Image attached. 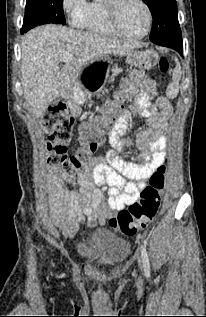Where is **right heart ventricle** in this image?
Masks as SVG:
<instances>
[{
    "instance_id": "right-heart-ventricle-1",
    "label": "right heart ventricle",
    "mask_w": 206,
    "mask_h": 317,
    "mask_svg": "<svg viewBox=\"0 0 206 317\" xmlns=\"http://www.w3.org/2000/svg\"><path fill=\"white\" fill-rule=\"evenodd\" d=\"M82 27L96 34L115 35L108 23L105 0H92L89 2L87 16Z\"/></svg>"
}]
</instances>
